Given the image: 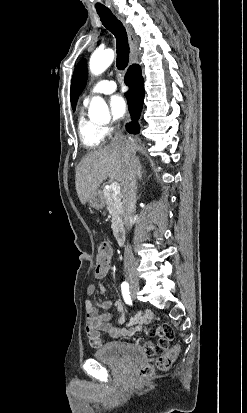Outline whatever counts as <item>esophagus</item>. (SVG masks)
<instances>
[{
	"label": "esophagus",
	"mask_w": 247,
	"mask_h": 413,
	"mask_svg": "<svg viewBox=\"0 0 247 413\" xmlns=\"http://www.w3.org/2000/svg\"><path fill=\"white\" fill-rule=\"evenodd\" d=\"M122 23L124 25V27L126 28V32L128 35V41H129V45H130V62L131 63H136L138 60V54H139V50H138V43L135 39V36L132 32V30L129 28V26L124 22V20H122Z\"/></svg>",
	"instance_id": "34e87169"
}]
</instances>
